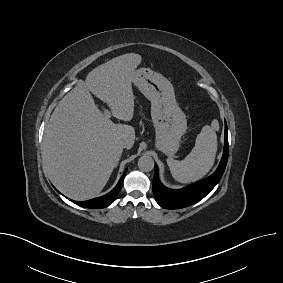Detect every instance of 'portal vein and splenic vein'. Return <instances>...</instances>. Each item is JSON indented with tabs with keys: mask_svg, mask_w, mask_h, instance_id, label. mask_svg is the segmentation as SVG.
I'll return each mask as SVG.
<instances>
[{
	"mask_svg": "<svg viewBox=\"0 0 283 283\" xmlns=\"http://www.w3.org/2000/svg\"><path fill=\"white\" fill-rule=\"evenodd\" d=\"M104 114H105V117H106L107 119H110L111 113H110V111H109L108 109H105V110H104Z\"/></svg>",
	"mask_w": 283,
	"mask_h": 283,
	"instance_id": "1",
	"label": "portal vein and splenic vein"
}]
</instances>
